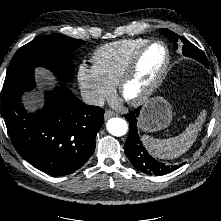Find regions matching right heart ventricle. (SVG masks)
Segmentation results:
<instances>
[{"label":"right heart ventricle","mask_w":221,"mask_h":221,"mask_svg":"<svg viewBox=\"0 0 221 221\" xmlns=\"http://www.w3.org/2000/svg\"><path fill=\"white\" fill-rule=\"evenodd\" d=\"M148 41L145 38H129L106 43L93 53V64L101 76L115 86L131 56Z\"/></svg>","instance_id":"1"}]
</instances>
